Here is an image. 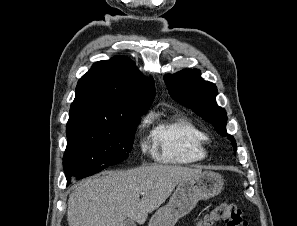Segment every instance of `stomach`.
<instances>
[{
  "label": "stomach",
  "mask_w": 297,
  "mask_h": 226,
  "mask_svg": "<svg viewBox=\"0 0 297 226\" xmlns=\"http://www.w3.org/2000/svg\"><path fill=\"white\" fill-rule=\"evenodd\" d=\"M223 183L222 177L212 171H204L198 178L181 181L168 204L155 212L148 226H174L179 218L190 213L199 200L218 195Z\"/></svg>",
  "instance_id": "stomach-1"
}]
</instances>
